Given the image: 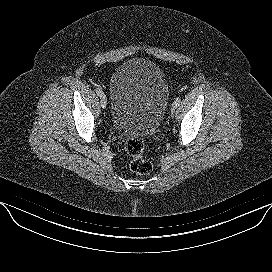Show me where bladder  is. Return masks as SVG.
Listing matches in <instances>:
<instances>
[{
  "label": "bladder",
  "mask_w": 272,
  "mask_h": 272,
  "mask_svg": "<svg viewBox=\"0 0 272 272\" xmlns=\"http://www.w3.org/2000/svg\"><path fill=\"white\" fill-rule=\"evenodd\" d=\"M111 122L120 133L139 137L153 133L169 100L165 73L154 62L134 58L122 63L110 81Z\"/></svg>",
  "instance_id": "1"
}]
</instances>
